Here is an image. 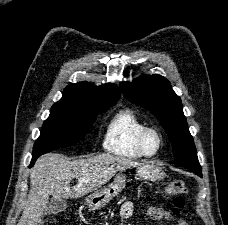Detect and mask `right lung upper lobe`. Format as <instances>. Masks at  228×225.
I'll use <instances>...</instances> for the list:
<instances>
[{"instance_id":"right-lung-upper-lobe-1","label":"right lung upper lobe","mask_w":228,"mask_h":225,"mask_svg":"<svg viewBox=\"0 0 228 225\" xmlns=\"http://www.w3.org/2000/svg\"><path fill=\"white\" fill-rule=\"evenodd\" d=\"M120 97L119 89L112 84L100 87L86 82L70 84L59 102L80 103L94 106L114 105Z\"/></svg>"}]
</instances>
